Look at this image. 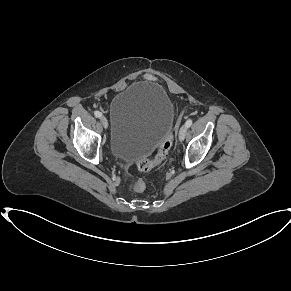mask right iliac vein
<instances>
[{
    "instance_id": "right-iliac-vein-1",
    "label": "right iliac vein",
    "mask_w": 291,
    "mask_h": 291,
    "mask_svg": "<svg viewBox=\"0 0 291 291\" xmlns=\"http://www.w3.org/2000/svg\"><path fill=\"white\" fill-rule=\"evenodd\" d=\"M100 122H101V124L103 125V127H104L105 129L108 128V121H107L106 117L101 116V117H100Z\"/></svg>"
}]
</instances>
